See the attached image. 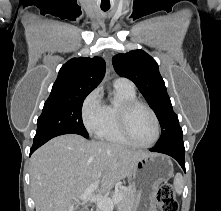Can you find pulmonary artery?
I'll use <instances>...</instances> for the list:
<instances>
[{"label":"pulmonary artery","mask_w":221,"mask_h":211,"mask_svg":"<svg viewBox=\"0 0 221 211\" xmlns=\"http://www.w3.org/2000/svg\"><path fill=\"white\" fill-rule=\"evenodd\" d=\"M115 87L125 88L129 90H134V84L131 80L124 78V77H118L113 82Z\"/></svg>","instance_id":"obj_1"}]
</instances>
